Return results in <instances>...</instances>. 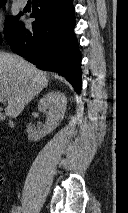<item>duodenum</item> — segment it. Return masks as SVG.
Segmentation results:
<instances>
[{
    "label": "duodenum",
    "mask_w": 128,
    "mask_h": 213,
    "mask_svg": "<svg viewBox=\"0 0 128 213\" xmlns=\"http://www.w3.org/2000/svg\"><path fill=\"white\" fill-rule=\"evenodd\" d=\"M0 117L3 119V116H0ZM9 123H10L11 126L13 125V123L11 121Z\"/></svg>",
    "instance_id": "1"
}]
</instances>
